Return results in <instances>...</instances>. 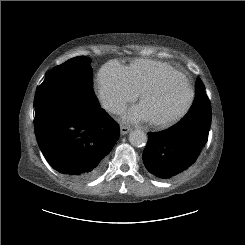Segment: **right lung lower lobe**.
<instances>
[{
  "instance_id": "98d812e1",
  "label": "right lung lower lobe",
  "mask_w": 245,
  "mask_h": 245,
  "mask_svg": "<svg viewBox=\"0 0 245 245\" xmlns=\"http://www.w3.org/2000/svg\"><path fill=\"white\" fill-rule=\"evenodd\" d=\"M36 129L48 163L81 182L101 174L120 134L118 123L100 107L59 114Z\"/></svg>"
}]
</instances>
